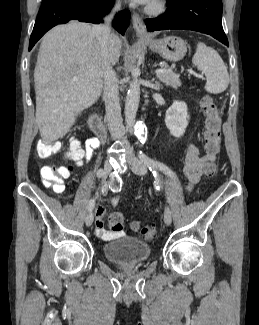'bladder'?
<instances>
[{
	"instance_id": "bladder-1",
	"label": "bladder",
	"mask_w": 259,
	"mask_h": 325,
	"mask_svg": "<svg viewBox=\"0 0 259 325\" xmlns=\"http://www.w3.org/2000/svg\"><path fill=\"white\" fill-rule=\"evenodd\" d=\"M104 256L118 264H137L145 261L151 254L148 243L135 237H121L103 246Z\"/></svg>"
}]
</instances>
